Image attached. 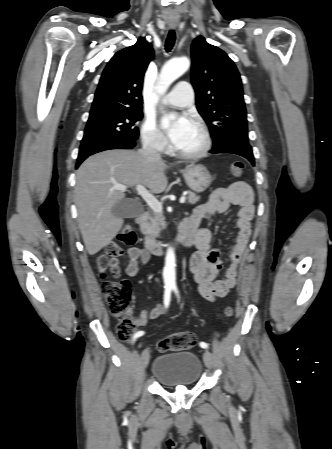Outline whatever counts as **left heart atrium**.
Wrapping results in <instances>:
<instances>
[{
	"instance_id": "1",
	"label": "left heart atrium",
	"mask_w": 332,
	"mask_h": 449,
	"mask_svg": "<svg viewBox=\"0 0 332 449\" xmlns=\"http://www.w3.org/2000/svg\"><path fill=\"white\" fill-rule=\"evenodd\" d=\"M165 121L168 122L167 135L175 146L180 143L193 124L186 115H180L174 119H165Z\"/></svg>"
}]
</instances>
